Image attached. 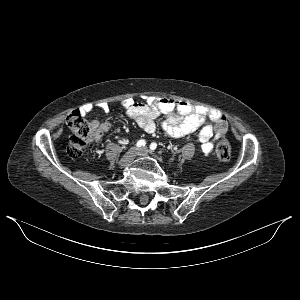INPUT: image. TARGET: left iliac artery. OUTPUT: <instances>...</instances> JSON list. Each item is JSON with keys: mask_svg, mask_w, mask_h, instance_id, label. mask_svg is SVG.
<instances>
[{"mask_svg": "<svg viewBox=\"0 0 300 300\" xmlns=\"http://www.w3.org/2000/svg\"><path fill=\"white\" fill-rule=\"evenodd\" d=\"M157 148V144L156 143H151V145H150V150L151 151H154L155 149Z\"/></svg>", "mask_w": 300, "mask_h": 300, "instance_id": "obj_1", "label": "left iliac artery"}]
</instances>
